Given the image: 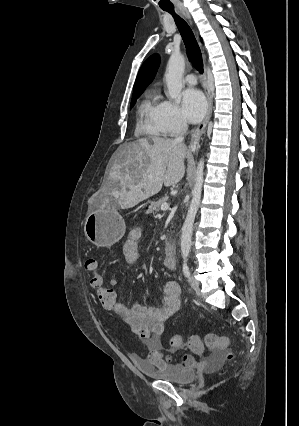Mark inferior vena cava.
I'll return each mask as SVG.
<instances>
[{"instance_id":"obj_1","label":"inferior vena cava","mask_w":299,"mask_h":426,"mask_svg":"<svg viewBox=\"0 0 299 426\" xmlns=\"http://www.w3.org/2000/svg\"><path fill=\"white\" fill-rule=\"evenodd\" d=\"M187 129H188V125H187V123H186V122H183V123H182V132H181V134H180L179 136H177V137L174 139V142H175V143H179V144H182V143H183V141H184V132H185Z\"/></svg>"}]
</instances>
